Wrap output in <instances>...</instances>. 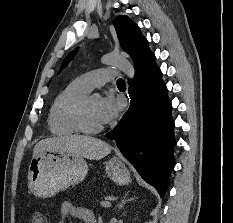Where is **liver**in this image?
<instances>
[{"instance_id": "6515ba94", "label": "liver", "mask_w": 233, "mask_h": 223, "mask_svg": "<svg viewBox=\"0 0 233 223\" xmlns=\"http://www.w3.org/2000/svg\"><path fill=\"white\" fill-rule=\"evenodd\" d=\"M42 149H49V151L59 149V151H67V153H74V155L87 157V159H102L111 153L112 145L98 137H91V135H59V137H46V139L38 141L33 155Z\"/></svg>"}]
</instances>
